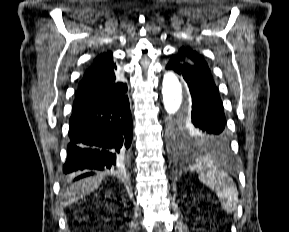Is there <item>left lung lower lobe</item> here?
Instances as JSON below:
<instances>
[{
	"label": "left lung lower lobe",
	"mask_w": 289,
	"mask_h": 232,
	"mask_svg": "<svg viewBox=\"0 0 289 232\" xmlns=\"http://www.w3.org/2000/svg\"><path fill=\"white\" fill-rule=\"evenodd\" d=\"M166 69L178 73L188 85L192 98L188 119L192 127L210 141L213 151L226 152L230 139L225 127L223 104L210 71L177 56L170 59Z\"/></svg>",
	"instance_id": "1"
}]
</instances>
